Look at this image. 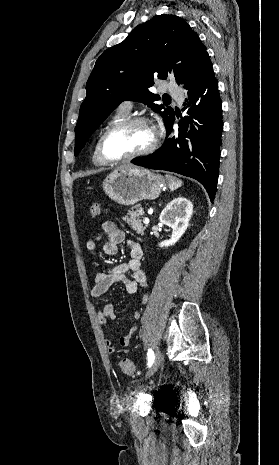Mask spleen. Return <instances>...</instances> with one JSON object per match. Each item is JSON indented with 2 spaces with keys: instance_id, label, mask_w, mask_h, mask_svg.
<instances>
[{
  "instance_id": "obj_1",
  "label": "spleen",
  "mask_w": 279,
  "mask_h": 465,
  "mask_svg": "<svg viewBox=\"0 0 279 465\" xmlns=\"http://www.w3.org/2000/svg\"><path fill=\"white\" fill-rule=\"evenodd\" d=\"M170 190H176L182 185V181L171 175H166Z\"/></svg>"
}]
</instances>
